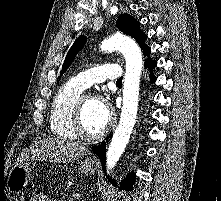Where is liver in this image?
Here are the masks:
<instances>
[{"label": "liver", "instance_id": "liver-1", "mask_svg": "<svg viewBox=\"0 0 221 201\" xmlns=\"http://www.w3.org/2000/svg\"><path fill=\"white\" fill-rule=\"evenodd\" d=\"M88 154V149L76 142L51 137L30 146L19 156V162L37 159L54 163H66Z\"/></svg>", "mask_w": 221, "mask_h": 201}]
</instances>
